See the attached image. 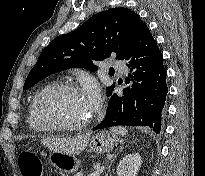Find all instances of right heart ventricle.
<instances>
[{"label":"right heart ventricle","instance_id":"1","mask_svg":"<svg viewBox=\"0 0 205 176\" xmlns=\"http://www.w3.org/2000/svg\"><path fill=\"white\" fill-rule=\"evenodd\" d=\"M41 91L37 92L35 94V96L33 97L32 101L30 102L29 104V107H28V115H27V120H28V123L30 124L31 128L34 130V131H38V132H41V131H44V129L40 128L33 120V117H32V106H33V102L35 100V98L37 97V95L40 93Z\"/></svg>","mask_w":205,"mask_h":176}]
</instances>
